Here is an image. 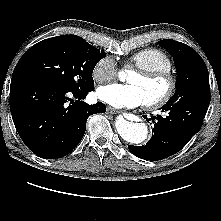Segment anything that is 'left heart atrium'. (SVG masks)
<instances>
[{
	"mask_svg": "<svg viewBox=\"0 0 221 221\" xmlns=\"http://www.w3.org/2000/svg\"><path fill=\"white\" fill-rule=\"evenodd\" d=\"M97 97L117 108H134L146 103L143 92L134 84H108L98 88Z\"/></svg>",
	"mask_w": 221,
	"mask_h": 221,
	"instance_id": "left-heart-atrium-1",
	"label": "left heart atrium"
}]
</instances>
